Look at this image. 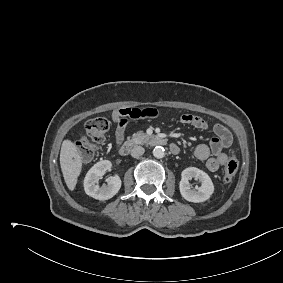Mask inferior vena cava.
Returning a JSON list of instances; mask_svg holds the SVG:
<instances>
[{
  "instance_id": "602c4592",
  "label": "inferior vena cava",
  "mask_w": 283,
  "mask_h": 283,
  "mask_svg": "<svg viewBox=\"0 0 283 283\" xmlns=\"http://www.w3.org/2000/svg\"><path fill=\"white\" fill-rule=\"evenodd\" d=\"M144 154V148L141 146H134L131 150V156L134 158H138Z\"/></svg>"
}]
</instances>
